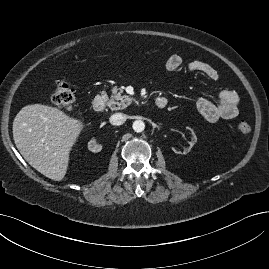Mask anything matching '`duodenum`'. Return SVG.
<instances>
[{"mask_svg": "<svg viewBox=\"0 0 269 269\" xmlns=\"http://www.w3.org/2000/svg\"><path fill=\"white\" fill-rule=\"evenodd\" d=\"M106 104V98L103 95H96L92 100V109L95 112H100L104 109ZM167 105V99L163 96H160L155 101V106L157 109H164Z\"/></svg>", "mask_w": 269, "mask_h": 269, "instance_id": "410a0bca", "label": "duodenum"}]
</instances>
